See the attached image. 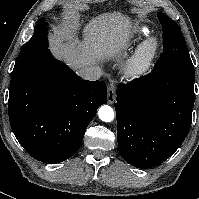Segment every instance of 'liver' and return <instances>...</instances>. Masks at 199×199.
<instances>
[{"instance_id":"liver-1","label":"liver","mask_w":199,"mask_h":199,"mask_svg":"<svg viewBox=\"0 0 199 199\" xmlns=\"http://www.w3.org/2000/svg\"><path fill=\"white\" fill-rule=\"evenodd\" d=\"M131 31L128 17L119 12L104 13L93 18L83 29L84 40L67 35L54 39L51 51L74 70L94 65L97 60L118 55L126 48Z\"/></svg>"}]
</instances>
